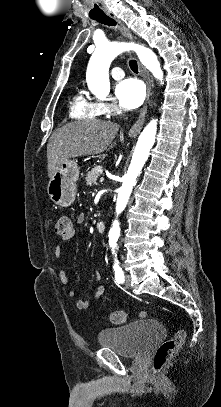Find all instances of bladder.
Listing matches in <instances>:
<instances>
[{
    "label": "bladder",
    "instance_id": "1",
    "mask_svg": "<svg viewBox=\"0 0 221 407\" xmlns=\"http://www.w3.org/2000/svg\"><path fill=\"white\" fill-rule=\"evenodd\" d=\"M166 329L158 319L138 320L131 324L101 330L98 344L114 349L118 354L135 358L144 353Z\"/></svg>",
    "mask_w": 221,
    "mask_h": 407
}]
</instances>
